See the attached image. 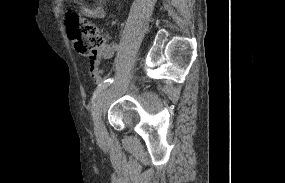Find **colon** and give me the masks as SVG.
Instances as JSON below:
<instances>
[{
    "instance_id": "obj_1",
    "label": "colon",
    "mask_w": 285,
    "mask_h": 183,
    "mask_svg": "<svg viewBox=\"0 0 285 183\" xmlns=\"http://www.w3.org/2000/svg\"><path fill=\"white\" fill-rule=\"evenodd\" d=\"M65 25L68 38L74 43L76 50L91 59L95 58L105 44L106 36L94 24L81 20L75 14L66 16Z\"/></svg>"
}]
</instances>
